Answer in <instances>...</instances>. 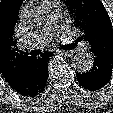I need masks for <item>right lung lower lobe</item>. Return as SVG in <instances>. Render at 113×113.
<instances>
[{"label":"right lung lower lobe","mask_w":113,"mask_h":113,"mask_svg":"<svg viewBox=\"0 0 113 113\" xmlns=\"http://www.w3.org/2000/svg\"><path fill=\"white\" fill-rule=\"evenodd\" d=\"M51 55L52 52H45L40 57H33L23 77L11 84V88L26 97H35L41 93L47 83L48 60Z\"/></svg>","instance_id":"98d812e1"}]
</instances>
